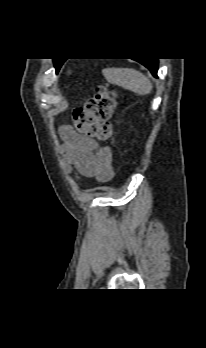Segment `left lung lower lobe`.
Segmentation results:
<instances>
[{"label":"left lung lower lobe","mask_w":206,"mask_h":348,"mask_svg":"<svg viewBox=\"0 0 206 348\" xmlns=\"http://www.w3.org/2000/svg\"><path fill=\"white\" fill-rule=\"evenodd\" d=\"M146 66L150 72L153 74L154 77H157V70H158V59H142V60H136Z\"/></svg>","instance_id":"1"}]
</instances>
